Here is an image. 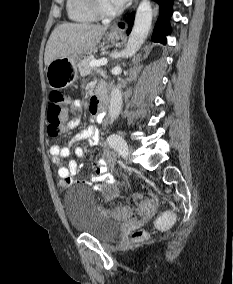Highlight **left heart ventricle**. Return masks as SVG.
Segmentation results:
<instances>
[{
    "mask_svg": "<svg viewBox=\"0 0 233 284\" xmlns=\"http://www.w3.org/2000/svg\"><path fill=\"white\" fill-rule=\"evenodd\" d=\"M103 1V5L105 6L106 9L108 10H114L116 9L118 6L113 2V0H102Z\"/></svg>",
    "mask_w": 233,
    "mask_h": 284,
    "instance_id": "left-heart-ventricle-1",
    "label": "left heart ventricle"
}]
</instances>
